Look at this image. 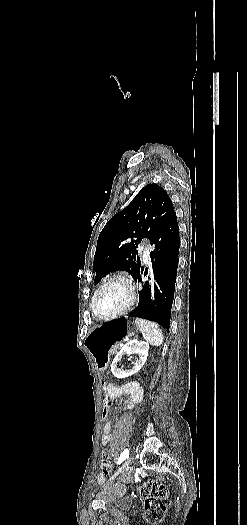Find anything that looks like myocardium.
I'll return each mask as SVG.
<instances>
[{"label": "myocardium", "mask_w": 247, "mask_h": 525, "mask_svg": "<svg viewBox=\"0 0 247 525\" xmlns=\"http://www.w3.org/2000/svg\"><path fill=\"white\" fill-rule=\"evenodd\" d=\"M112 280H122V281L126 282L128 284V286H129V288H130V296H129L128 300L122 306H120L119 308H117V309H115L113 311H109V312H102V311L98 310L97 307H96V297H97V294H98L99 290L102 288V286L105 285L106 283L112 281ZM134 300H135V282H134L133 277L130 274H128V273L115 272V273L109 275L108 277H106L105 279H103L101 282L98 283V285L96 286V288L94 290V293H93V295L91 297L90 307H91L93 315L96 318H99V317H115V316L124 314L133 305Z\"/></svg>", "instance_id": "1"}]
</instances>
